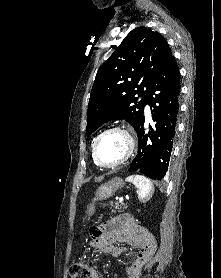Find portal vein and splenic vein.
I'll return each mask as SVG.
<instances>
[{
    "instance_id": "portal-vein-and-splenic-vein-1",
    "label": "portal vein and splenic vein",
    "mask_w": 221,
    "mask_h": 278,
    "mask_svg": "<svg viewBox=\"0 0 221 278\" xmlns=\"http://www.w3.org/2000/svg\"><path fill=\"white\" fill-rule=\"evenodd\" d=\"M122 201H123V199L121 198V199H120V202H122Z\"/></svg>"
}]
</instances>
